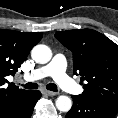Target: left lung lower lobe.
Masks as SVG:
<instances>
[{"label": "left lung lower lobe", "mask_w": 118, "mask_h": 118, "mask_svg": "<svg viewBox=\"0 0 118 118\" xmlns=\"http://www.w3.org/2000/svg\"><path fill=\"white\" fill-rule=\"evenodd\" d=\"M73 106L66 118H114L118 106L95 100H89L80 95L72 96Z\"/></svg>", "instance_id": "left-lung-lower-lobe-1"}]
</instances>
